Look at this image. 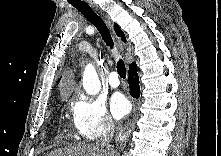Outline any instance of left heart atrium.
I'll list each match as a JSON object with an SVG mask.
<instances>
[{"mask_svg": "<svg viewBox=\"0 0 221 156\" xmlns=\"http://www.w3.org/2000/svg\"><path fill=\"white\" fill-rule=\"evenodd\" d=\"M110 108L113 116L120 119L129 112L130 104L121 93H116L111 97Z\"/></svg>", "mask_w": 221, "mask_h": 156, "instance_id": "39dd6f15", "label": "left heart atrium"}]
</instances>
